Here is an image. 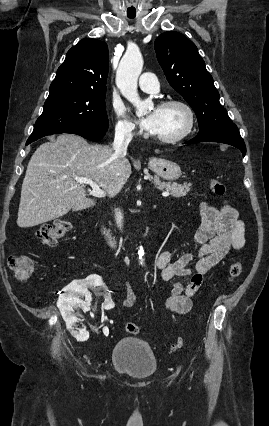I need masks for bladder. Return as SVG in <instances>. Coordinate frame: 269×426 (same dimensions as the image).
<instances>
[{
    "label": "bladder",
    "mask_w": 269,
    "mask_h": 426,
    "mask_svg": "<svg viewBox=\"0 0 269 426\" xmlns=\"http://www.w3.org/2000/svg\"><path fill=\"white\" fill-rule=\"evenodd\" d=\"M111 365L125 374L144 378L157 369V359L152 348L140 338L126 337L112 349Z\"/></svg>",
    "instance_id": "obj_1"
}]
</instances>
